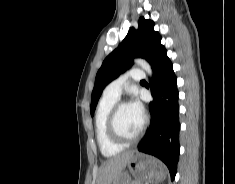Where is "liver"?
Here are the masks:
<instances>
[{"label": "liver", "mask_w": 235, "mask_h": 184, "mask_svg": "<svg viewBox=\"0 0 235 184\" xmlns=\"http://www.w3.org/2000/svg\"><path fill=\"white\" fill-rule=\"evenodd\" d=\"M134 152H123L120 156H113L99 168L97 184H111L120 172L126 168Z\"/></svg>", "instance_id": "6515ba94"}]
</instances>
